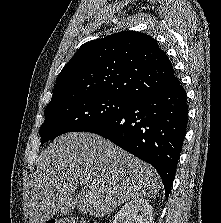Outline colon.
<instances>
[{"label": "colon", "instance_id": "obj_1", "mask_svg": "<svg viewBox=\"0 0 221 223\" xmlns=\"http://www.w3.org/2000/svg\"><path fill=\"white\" fill-rule=\"evenodd\" d=\"M46 223H100L98 220L84 217H58L46 221Z\"/></svg>", "mask_w": 221, "mask_h": 223}]
</instances>
